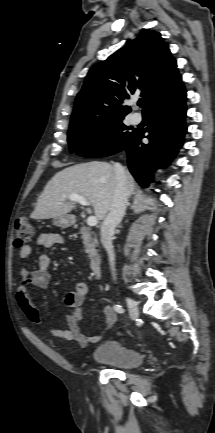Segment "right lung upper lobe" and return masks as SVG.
<instances>
[{
    "label": "right lung upper lobe",
    "mask_w": 215,
    "mask_h": 433,
    "mask_svg": "<svg viewBox=\"0 0 215 433\" xmlns=\"http://www.w3.org/2000/svg\"><path fill=\"white\" fill-rule=\"evenodd\" d=\"M182 83L176 60L160 33L144 30L129 45L89 71L76 97L70 125L124 117L122 106L141 90L146 106Z\"/></svg>",
    "instance_id": "cb5924a9"
}]
</instances>
